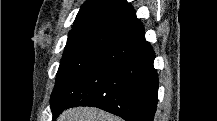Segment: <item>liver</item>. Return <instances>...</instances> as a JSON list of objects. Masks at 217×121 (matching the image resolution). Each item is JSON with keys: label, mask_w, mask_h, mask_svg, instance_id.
Masks as SVG:
<instances>
[{"label": "liver", "mask_w": 217, "mask_h": 121, "mask_svg": "<svg viewBox=\"0 0 217 121\" xmlns=\"http://www.w3.org/2000/svg\"><path fill=\"white\" fill-rule=\"evenodd\" d=\"M58 121H121V119L96 108L77 107L63 111Z\"/></svg>", "instance_id": "6515ba94"}]
</instances>
